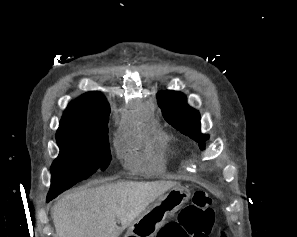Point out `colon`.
<instances>
[{
    "label": "colon",
    "instance_id": "colon-1",
    "mask_svg": "<svg viewBox=\"0 0 297 237\" xmlns=\"http://www.w3.org/2000/svg\"><path fill=\"white\" fill-rule=\"evenodd\" d=\"M214 221L210 196L203 190H196L192 202L180 211L178 219L164 225L156 237H209Z\"/></svg>",
    "mask_w": 297,
    "mask_h": 237
}]
</instances>
